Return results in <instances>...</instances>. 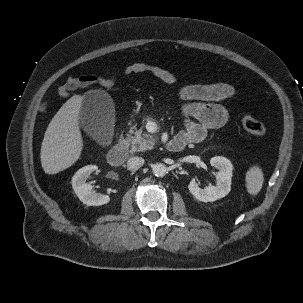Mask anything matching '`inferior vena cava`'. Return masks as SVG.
<instances>
[{"label":"inferior vena cava","mask_w":303,"mask_h":303,"mask_svg":"<svg viewBox=\"0 0 303 303\" xmlns=\"http://www.w3.org/2000/svg\"><path fill=\"white\" fill-rule=\"evenodd\" d=\"M144 162L142 157H131L127 161V168L130 171H136L143 166Z\"/></svg>","instance_id":"1"}]
</instances>
